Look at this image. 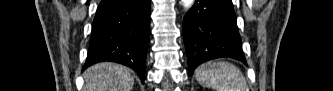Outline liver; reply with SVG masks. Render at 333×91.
<instances>
[{
    "label": "liver",
    "instance_id": "1",
    "mask_svg": "<svg viewBox=\"0 0 333 91\" xmlns=\"http://www.w3.org/2000/svg\"><path fill=\"white\" fill-rule=\"evenodd\" d=\"M84 91H131L134 78L129 69L115 63H98L83 74Z\"/></svg>",
    "mask_w": 333,
    "mask_h": 91
}]
</instances>
